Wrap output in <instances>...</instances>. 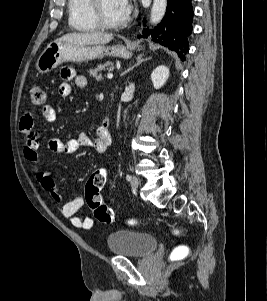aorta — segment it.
Returning <instances> with one entry per match:
<instances>
[{
  "label": "aorta",
  "mask_w": 267,
  "mask_h": 301,
  "mask_svg": "<svg viewBox=\"0 0 267 301\" xmlns=\"http://www.w3.org/2000/svg\"><path fill=\"white\" fill-rule=\"evenodd\" d=\"M167 0H154L151 13L150 22L152 24L159 23L166 13Z\"/></svg>",
  "instance_id": "1"
}]
</instances>
